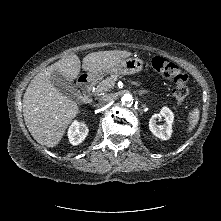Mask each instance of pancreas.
<instances>
[{
  "mask_svg": "<svg viewBox=\"0 0 221 221\" xmlns=\"http://www.w3.org/2000/svg\"><path fill=\"white\" fill-rule=\"evenodd\" d=\"M118 75H111L101 81L97 87H96V92H106L112 89L115 85V81H117Z\"/></svg>",
  "mask_w": 221,
  "mask_h": 221,
  "instance_id": "cf45deb5",
  "label": "pancreas"
}]
</instances>
